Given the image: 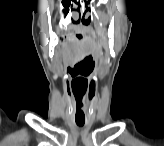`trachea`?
Segmentation results:
<instances>
[{
	"instance_id": "1",
	"label": "trachea",
	"mask_w": 164,
	"mask_h": 146,
	"mask_svg": "<svg viewBox=\"0 0 164 146\" xmlns=\"http://www.w3.org/2000/svg\"><path fill=\"white\" fill-rule=\"evenodd\" d=\"M76 124H77L78 126H83V125H84V122L76 121Z\"/></svg>"
}]
</instances>
